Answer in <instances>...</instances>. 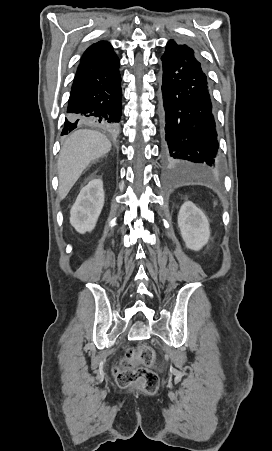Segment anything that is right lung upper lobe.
Returning <instances> with one entry per match:
<instances>
[{
	"instance_id": "cb5924a9",
	"label": "right lung upper lobe",
	"mask_w": 272,
	"mask_h": 451,
	"mask_svg": "<svg viewBox=\"0 0 272 451\" xmlns=\"http://www.w3.org/2000/svg\"><path fill=\"white\" fill-rule=\"evenodd\" d=\"M113 52L112 46L106 41H99L93 45H91L83 54L81 61L85 59H89L92 57H97L101 55L108 54Z\"/></svg>"
}]
</instances>
